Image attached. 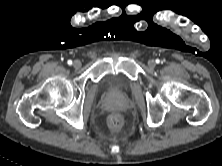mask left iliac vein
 <instances>
[{"label": "left iliac vein", "mask_w": 222, "mask_h": 166, "mask_svg": "<svg viewBox=\"0 0 222 166\" xmlns=\"http://www.w3.org/2000/svg\"><path fill=\"white\" fill-rule=\"evenodd\" d=\"M148 66H149L150 68H154V66H155L154 60H149V61H148Z\"/></svg>", "instance_id": "1"}]
</instances>
